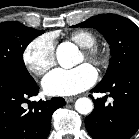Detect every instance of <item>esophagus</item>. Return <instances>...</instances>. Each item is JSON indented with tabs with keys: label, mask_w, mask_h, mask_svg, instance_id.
Masks as SVG:
<instances>
[{
	"label": "esophagus",
	"mask_w": 139,
	"mask_h": 139,
	"mask_svg": "<svg viewBox=\"0 0 139 139\" xmlns=\"http://www.w3.org/2000/svg\"><path fill=\"white\" fill-rule=\"evenodd\" d=\"M75 99H76V97L71 96V97H66V98H65V101H66L67 103H71V102H73Z\"/></svg>",
	"instance_id": "1"
}]
</instances>
